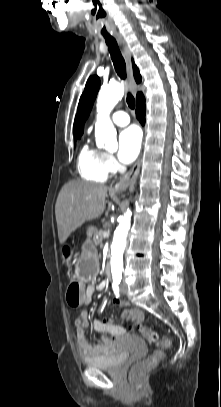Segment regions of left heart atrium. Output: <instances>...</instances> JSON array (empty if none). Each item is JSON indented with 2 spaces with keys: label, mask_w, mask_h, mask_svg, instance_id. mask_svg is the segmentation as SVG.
I'll return each mask as SVG.
<instances>
[{
  "label": "left heart atrium",
  "mask_w": 221,
  "mask_h": 407,
  "mask_svg": "<svg viewBox=\"0 0 221 407\" xmlns=\"http://www.w3.org/2000/svg\"><path fill=\"white\" fill-rule=\"evenodd\" d=\"M141 147V134L137 127L131 126L119 135L118 158L122 163L133 162L139 154Z\"/></svg>",
  "instance_id": "left-heart-atrium-1"
}]
</instances>
